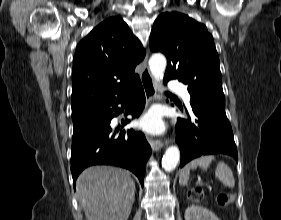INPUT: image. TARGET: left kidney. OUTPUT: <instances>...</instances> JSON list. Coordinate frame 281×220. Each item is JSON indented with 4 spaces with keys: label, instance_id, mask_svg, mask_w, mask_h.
<instances>
[{
    "label": "left kidney",
    "instance_id": "1",
    "mask_svg": "<svg viewBox=\"0 0 281 220\" xmlns=\"http://www.w3.org/2000/svg\"><path fill=\"white\" fill-rule=\"evenodd\" d=\"M185 220H220L214 213L199 205H192L185 211Z\"/></svg>",
    "mask_w": 281,
    "mask_h": 220
}]
</instances>
